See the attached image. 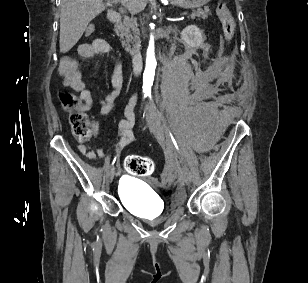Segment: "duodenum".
Masks as SVG:
<instances>
[{
  "instance_id": "410a0bca",
  "label": "duodenum",
  "mask_w": 308,
  "mask_h": 283,
  "mask_svg": "<svg viewBox=\"0 0 308 283\" xmlns=\"http://www.w3.org/2000/svg\"><path fill=\"white\" fill-rule=\"evenodd\" d=\"M108 20L111 24L113 25H117L121 18H120V15L117 14V13H112L108 16ZM142 54L140 52H135L133 55H132V59H131V65H132V69H133V72L135 74L139 73L142 69Z\"/></svg>"
}]
</instances>
